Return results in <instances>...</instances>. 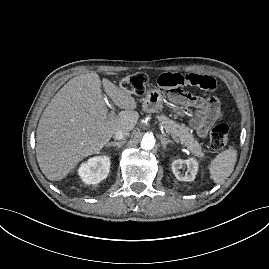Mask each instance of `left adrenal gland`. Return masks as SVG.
<instances>
[{
    "instance_id": "left-adrenal-gland-1",
    "label": "left adrenal gland",
    "mask_w": 269,
    "mask_h": 269,
    "mask_svg": "<svg viewBox=\"0 0 269 269\" xmlns=\"http://www.w3.org/2000/svg\"><path fill=\"white\" fill-rule=\"evenodd\" d=\"M160 140H161L163 150H165L167 148V144H169V143L174 144V142L172 140L167 139L164 136H160Z\"/></svg>"
}]
</instances>
